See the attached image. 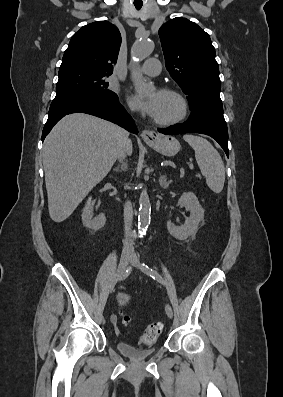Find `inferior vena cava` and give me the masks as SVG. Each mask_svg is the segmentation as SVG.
Returning a JSON list of instances; mask_svg holds the SVG:
<instances>
[{"instance_id":"1","label":"inferior vena cava","mask_w":283,"mask_h":397,"mask_svg":"<svg viewBox=\"0 0 283 397\" xmlns=\"http://www.w3.org/2000/svg\"><path fill=\"white\" fill-rule=\"evenodd\" d=\"M128 136H129V134L127 131H125V130L121 131V137H122L123 144H122V148L118 154V159L120 162H123V160L125 159L126 154H127L128 145L130 143ZM125 168H126V164H124V169ZM132 222H133V208H132L131 202L127 201L124 204V228H125L124 249H127V250L132 248V242L130 240V232H131Z\"/></svg>"}]
</instances>
